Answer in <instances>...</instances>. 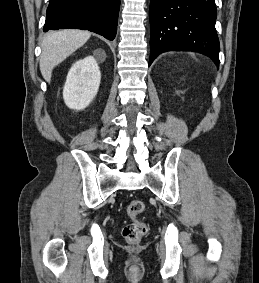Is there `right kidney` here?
Returning a JSON list of instances; mask_svg holds the SVG:
<instances>
[{
    "label": "right kidney",
    "instance_id": "obj_1",
    "mask_svg": "<svg viewBox=\"0 0 259 283\" xmlns=\"http://www.w3.org/2000/svg\"><path fill=\"white\" fill-rule=\"evenodd\" d=\"M101 73L94 56H87L73 64L63 89L65 104L74 110L85 109L99 90Z\"/></svg>",
    "mask_w": 259,
    "mask_h": 283
}]
</instances>
